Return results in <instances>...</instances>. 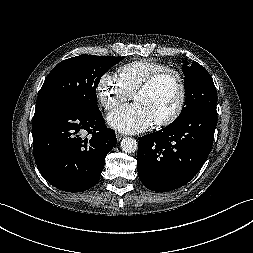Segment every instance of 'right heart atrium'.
Masks as SVG:
<instances>
[{
	"label": "right heart atrium",
	"instance_id": "1",
	"mask_svg": "<svg viewBox=\"0 0 253 253\" xmlns=\"http://www.w3.org/2000/svg\"><path fill=\"white\" fill-rule=\"evenodd\" d=\"M100 104L106 111H113L122 103L128 101L132 93L115 74L104 73L96 87Z\"/></svg>",
	"mask_w": 253,
	"mask_h": 253
}]
</instances>
